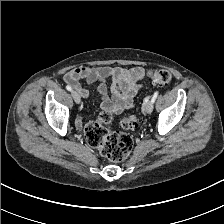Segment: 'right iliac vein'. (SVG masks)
Listing matches in <instances>:
<instances>
[{"instance_id": "63e3f726", "label": "right iliac vein", "mask_w": 224, "mask_h": 224, "mask_svg": "<svg viewBox=\"0 0 224 224\" xmlns=\"http://www.w3.org/2000/svg\"><path fill=\"white\" fill-rule=\"evenodd\" d=\"M72 97L77 104L81 103L80 95L76 91H72Z\"/></svg>"}]
</instances>
